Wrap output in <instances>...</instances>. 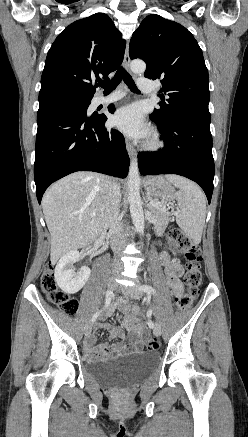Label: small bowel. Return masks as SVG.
I'll use <instances>...</instances> for the list:
<instances>
[{"label": "small bowel", "instance_id": "small-bowel-1", "mask_svg": "<svg viewBox=\"0 0 248 437\" xmlns=\"http://www.w3.org/2000/svg\"><path fill=\"white\" fill-rule=\"evenodd\" d=\"M165 260V275L167 286L173 291L174 296H179L183 293V285L181 275L183 273L182 266L177 262L169 261L167 255H163ZM113 313V308L109 307L106 315ZM109 330L111 338H125L124 333L117 327H112L106 324L101 325ZM126 327L132 331L131 340L128 343H115L111 347L108 343L94 345V336L88 335L84 341V351L87 358L91 360H102L110 356L118 355L125 352H139L143 347L144 331L142 326L135 325L132 322H127Z\"/></svg>", "mask_w": 248, "mask_h": 437}]
</instances>
